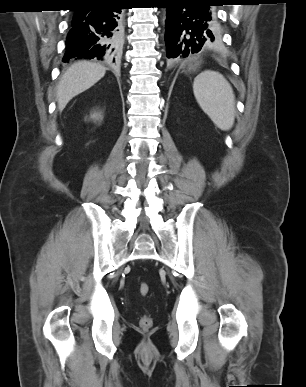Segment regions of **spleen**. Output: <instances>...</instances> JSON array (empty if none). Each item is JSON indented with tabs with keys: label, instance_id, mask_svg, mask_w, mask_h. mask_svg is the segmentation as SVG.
I'll return each instance as SVG.
<instances>
[{
	"label": "spleen",
	"instance_id": "obj_1",
	"mask_svg": "<svg viewBox=\"0 0 306 387\" xmlns=\"http://www.w3.org/2000/svg\"><path fill=\"white\" fill-rule=\"evenodd\" d=\"M193 92L202 110L219 129L228 131L232 128L235 95L223 75L215 71H203L194 79Z\"/></svg>",
	"mask_w": 306,
	"mask_h": 387
}]
</instances>
